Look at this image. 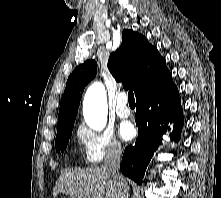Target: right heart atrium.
Segmentation results:
<instances>
[{
    "instance_id": "1",
    "label": "right heart atrium",
    "mask_w": 221,
    "mask_h": 198,
    "mask_svg": "<svg viewBox=\"0 0 221 198\" xmlns=\"http://www.w3.org/2000/svg\"><path fill=\"white\" fill-rule=\"evenodd\" d=\"M77 136L87 163L98 164L107 159H117L123 149L112 132L96 131L86 126H80Z\"/></svg>"
}]
</instances>
